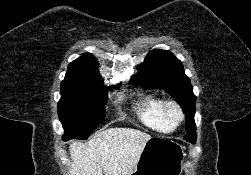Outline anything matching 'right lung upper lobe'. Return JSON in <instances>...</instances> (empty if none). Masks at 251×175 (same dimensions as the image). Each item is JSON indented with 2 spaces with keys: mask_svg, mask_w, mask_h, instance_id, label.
Returning <instances> with one entry per match:
<instances>
[{
  "mask_svg": "<svg viewBox=\"0 0 251 175\" xmlns=\"http://www.w3.org/2000/svg\"><path fill=\"white\" fill-rule=\"evenodd\" d=\"M97 66L98 61L93 55L83 54L68 65L67 73L61 84L104 88Z\"/></svg>",
  "mask_w": 251,
  "mask_h": 175,
  "instance_id": "1",
  "label": "right lung upper lobe"
}]
</instances>
